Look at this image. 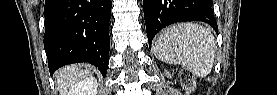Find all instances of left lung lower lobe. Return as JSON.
<instances>
[{
	"instance_id": "0a47b994",
	"label": "left lung lower lobe",
	"mask_w": 277,
	"mask_h": 95,
	"mask_svg": "<svg viewBox=\"0 0 277 95\" xmlns=\"http://www.w3.org/2000/svg\"><path fill=\"white\" fill-rule=\"evenodd\" d=\"M143 9L150 47L158 31L176 22L199 20L217 29L212 0H143Z\"/></svg>"
}]
</instances>
